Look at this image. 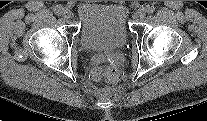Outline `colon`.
<instances>
[{
  "mask_svg": "<svg viewBox=\"0 0 207 121\" xmlns=\"http://www.w3.org/2000/svg\"><path fill=\"white\" fill-rule=\"evenodd\" d=\"M96 74H102L109 82H114L118 78V69L114 65H109L103 69L97 70Z\"/></svg>",
  "mask_w": 207,
  "mask_h": 121,
  "instance_id": "colon-1",
  "label": "colon"
}]
</instances>
